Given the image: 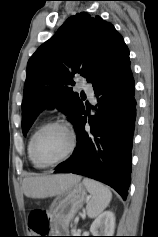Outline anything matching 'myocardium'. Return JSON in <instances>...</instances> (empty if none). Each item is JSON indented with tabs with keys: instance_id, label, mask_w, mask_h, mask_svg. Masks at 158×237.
Instances as JSON below:
<instances>
[{
	"instance_id": "obj_1",
	"label": "myocardium",
	"mask_w": 158,
	"mask_h": 237,
	"mask_svg": "<svg viewBox=\"0 0 158 237\" xmlns=\"http://www.w3.org/2000/svg\"><path fill=\"white\" fill-rule=\"evenodd\" d=\"M53 127H61L63 129H65L69 135L70 144H69V147H68L66 153L62 157H60L56 160H53V161L44 162V161H41L36 155V142H37L39 136L45 130L53 128ZM75 148H76V135H75L74 130L71 128V126L67 122L62 121V120L50 121V122L42 125L40 128H38V130L33 135V138L31 141V157L37 165H39L43 168L44 167H51V166H55L57 164H60L64 161H66L73 154Z\"/></svg>"
}]
</instances>
